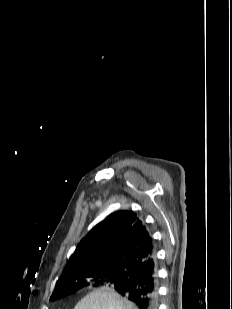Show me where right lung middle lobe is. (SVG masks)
I'll list each match as a JSON object with an SVG mask.
<instances>
[{
  "label": "right lung middle lobe",
  "mask_w": 232,
  "mask_h": 309,
  "mask_svg": "<svg viewBox=\"0 0 232 309\" xmlns=\"http://www.w3.org/2000/svg\"><path fill=\"white\" fill-rule=\"evenodd\" d=\"M129 280L126 272L93 270L77 275L76 277L66 280L56 285L50 300L60 299L70 295L85 286H121Z\"/></svg>",
  "instance_id": "right-lung-middle-lobe-1"
}]
</instances>
